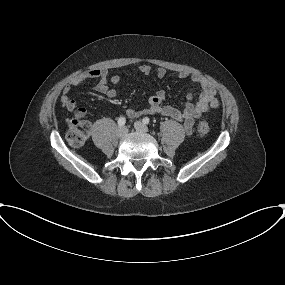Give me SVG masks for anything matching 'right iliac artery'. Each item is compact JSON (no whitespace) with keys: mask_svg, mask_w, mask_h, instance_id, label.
I'll use <instances>...</instances> for the list:
<instances>
[{"mask_svg":"<svg viewBox=\"0 0 285 285\" xmlns=\"http://www.w3.org/2000/svg\"><path fill=\"white\" fill-rule=\"evenodd\" d=\"M125 123H126V118H125V117H120V118L118 119V125H119L120 127L124 126Z\"/></svg>","mask_w":285,"mask_h":285,"instance_id":"82829eb1","label":"right iliac artery"}]
</instances>
